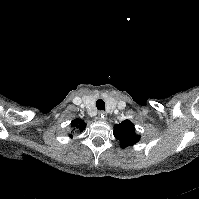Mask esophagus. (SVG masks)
<instances>
[{
    "mask_svg": "<svg viewBox=\"0 0 199 199\" xmlns=\"http://www.w3.org/2000/svg\"><path fill=\"white\" fill-rule=\"evenodd\" d=\"M99 119L106 121V119H107L106 114L104 112H99Z\"/></svg>",
    "mask_w": 199,
    "mask_h": 199,
    "instance_id": "1",
    "label": "esophagus"
}]
</instances>
